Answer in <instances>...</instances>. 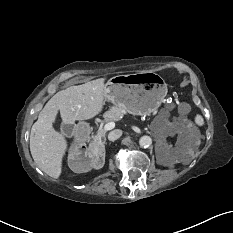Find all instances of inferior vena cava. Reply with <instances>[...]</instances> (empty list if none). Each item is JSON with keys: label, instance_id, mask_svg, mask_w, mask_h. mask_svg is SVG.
Segmentation results:
<instances>
[{"label": "inferior vena cava", "instance_id": "602c4592", "mask_svg": "<svg viewBox=\"0 0 233 233\" xmlns=\"http://www.w3.org/2000/svg\"><path fill=\"white\" fill-rule=\"evenodd\" d=\"M122 135V131L117 129V130H113L111 131L109 134H108V139L110 141H115L117 140L118 138H120Z\"/></svg>", "mask_w": 233, "mask_h": 233}]
</instances>
